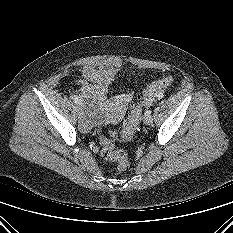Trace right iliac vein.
I'll list each match as a JSON object with an SVG mask.
<instances>
[{
    "mask_svg": "<svg viewBox=\"0 0 233 233\" xmlns=\"http://www.w3.org/2000/svg\"><path fill=\"white\" fill-rule=\"evenodd\" d=\"M81 103L78 105V107H77V111H78V114L79 115H83V111H82V109H81Z\"/></svg>",
    "mask_w": 233,
    "mask_h": 233,
    "instance_id": "63e3f726",
    "label": "right iliac vein"
}]
</instances>
